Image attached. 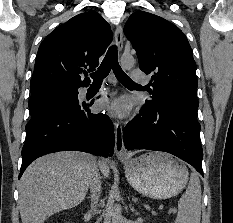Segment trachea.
Listing matches in <instances>:
<instances>
[{
  "label": "trachea",
  "mask_w": 233,
  "mask_h": 223,
  "mask_svg": "<svg viewBox=\"0 0 233 223\" xmlns=\"http://www.w3.org/2000/svg\"><path fill=\"white\" fill-rule=\"evenodd\" d=\"M111 69L120 83L138 85V83L133 82V80H131V78L128 77L120 67L118 63V51L116 45H112L109 48L97 72L91 73L90 76L93 78V83H102L103 79L107 77Z\"/></svg>",
  "instance_id": "1"
}]
</instances>
